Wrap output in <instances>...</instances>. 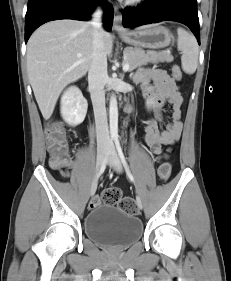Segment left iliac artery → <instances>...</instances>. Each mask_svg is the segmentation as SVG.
<instances>
[{
  "mask_svg": "<svg viewBox=\"0 0 231 281\" xmlns=\"http://www.w3.org/2000/svg\"><path fill=\"white\" fill-rule=\"evenodd\" d=\"M115 145H116V149H117L118 155H119V157L121 159V162H122V164H123V166L125 168V171H126V174H127L128 178L133 183H135L134 177H133V175H132V173H131V171L129 169V166H128L127 162H126V159H125V156L123 154V151H122V148L120 146V142H119L118 138H115Z\"/></svg>",
  "mask_w": 231,
  "mask_h": 281,
  "instance_id": "1",
  "label": "left iliac artery"
}]
</instances>
